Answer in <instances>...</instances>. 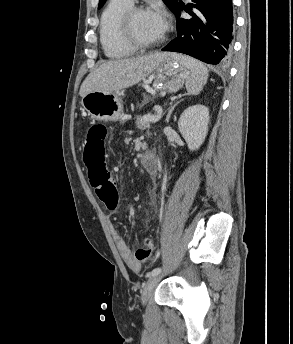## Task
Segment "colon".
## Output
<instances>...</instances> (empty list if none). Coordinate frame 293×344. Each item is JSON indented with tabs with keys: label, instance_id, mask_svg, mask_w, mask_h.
<instances>
[{
	"label": "colon",
	"instance_id": "obj_1",
	"mask_svg": "<svg viewBox=\"0 0 293 344\" xmlns=\"http://www.w3.org/2000/svg\"><path fill=\"white\" fill-rule=\"evenodd\" d=\"M107 127L104 124L92 125L86 135L84 162L89 178L98 198L108 209H115L119 203V194L115 182L106 170ZM155 246L151 239H144L135 250V258L147 261L154 256Z\"/></svg>",
	"mask_w": 293,
	"mask_h": 344
}]
</instances>
